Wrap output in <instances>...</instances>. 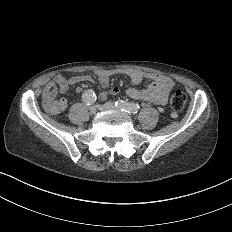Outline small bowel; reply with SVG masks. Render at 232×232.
I'll list each match as a JSON object with an SVG mask.
<instances>
[{
	"label": "small bowel",
	"instance_id": "small-bowel-1",
	"mask_svg": "<svg viewBox=\"0 0 232 232\" xmlns=\"http://www.w3.org/2000/svg\"><path fill=\"white\" fill-rule=\"evenodd\" d=\"M118 71L113 69H101L97 70V76L103 91L99 95L101 101L113 98L116 96V92L109 89L111 77ZM125 74L131 78L133 84H139L142 82H148V86L145 89L127 88L125 94L130 98L141 99L148 102H155L159 104H165L167 102V94L174 87V81L159 73L144 74L139 70H126ZM93 83V80L85 77H72L66 78L63 74H56L52 80L48 81L44 87V93L46 95L57 94L60 90H64L70 86ZM82 88L78 87L77 92H81Z\"/></svg>",
	"mask_w": 232,
	"mask_h": 232
}]
</instances>
